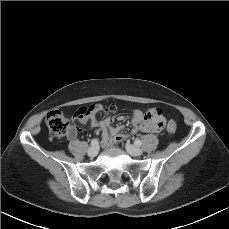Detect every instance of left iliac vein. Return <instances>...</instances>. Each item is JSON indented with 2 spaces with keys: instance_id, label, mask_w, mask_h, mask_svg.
<instances>
[{
  "instance_id": "left-iliac-vein-1",
  "label": "left iliac vein",
  "mask_w": 229,
  "mask_h": 229,
  "mask_svg": "<svg viewBox=\"0 0 229 229\" xmlns=\"http://www.w3.org/2000/svg\"><path fill=\"white\" fill-rule=\"evenodd\" d=\"M125 149L131 156H141L143 154V150L141 148L132 144H126Z\"/></svg>"
}]
</instances>
